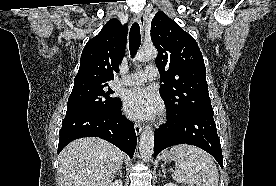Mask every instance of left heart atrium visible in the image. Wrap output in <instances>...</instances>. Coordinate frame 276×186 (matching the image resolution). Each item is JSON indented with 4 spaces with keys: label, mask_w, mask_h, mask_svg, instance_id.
Masks as SVG:
<instances>
[{
    "label": "left heart atrium",
    "mask_w": 276,
    "mask_h": 186,
    "mask_svg": "<svg viewBox=\"0 0 276 186\" xmlns=\"http://www.w3.org/2000/svg\"><path fill=\"white\" fill-rule=\"evenodd\" d=\"M124 110L137 120L154 118L160 111L158 98L149 89L134 88L126 92Z\"/></svg>",
    "instance_id": "1"
}]
</instances>
